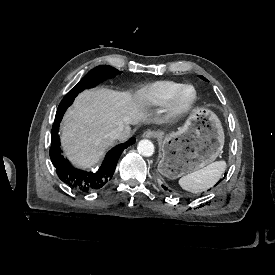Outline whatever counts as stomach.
<instances>
[{"label": "stomach", "mask_w": 275, "mask_h": 275, "mask_svg": "<svg viewBox=\"0 0 275 275\" xmlns=\"http://www.w3.org/2000/svg\"><path fill=\"white\" fill-rule=\"evenodd\" d=\"M162 152L158 171L177 179L214 162L224 145V132L217 116L196 110L175 133L158 132Z\"/></svg>", "instance_id": "0dacf381"}]
</instances>
